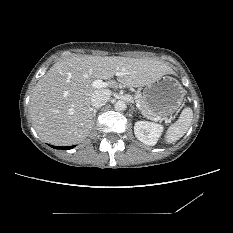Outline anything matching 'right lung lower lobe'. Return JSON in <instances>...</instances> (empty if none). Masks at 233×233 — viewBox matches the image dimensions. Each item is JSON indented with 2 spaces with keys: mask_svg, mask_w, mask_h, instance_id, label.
Masks as SVG:
<instances>
[{
  "mask_svg": "<svg viewBox=\"0 0 233 233\" xmlns=\"http://www.w3.org/2000/svg\"><path fill=\"white\" fill-rule=\"evenodd\" d=\"M74 146H69V147H57V146H53V148H56V149H65V150H69V149H72Z\"/></svg>",
  "mask_w": 233,
  "mask_h": 233,
  "instance_id": "1",
  "label": "right lung lower lobe"
}]
</instances>
